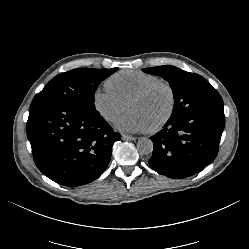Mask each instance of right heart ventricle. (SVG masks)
Returning <instances> with one entry per match:
<instances>
[{
    "mask_svg": "<svg viewBox=\"0 0 249 249\" xmlns=\"http://www.w3.org/2000/svg\"><path fill=\"white\" fill-rule=\"evenodd\" d=\"M158 80H160L158 76L144 71L121 70L106 80V87L126 102L140 89Z\"/></svg>",
    "mask_w": 249,
    "mask_h": 249,
    "instance_id": "obj_1",
    "label": "right heart ventricle"
}]
</instances>
